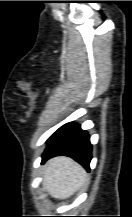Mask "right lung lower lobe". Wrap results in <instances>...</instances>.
<instances>
[{"mask_svg": "<svg viewBox=\"0 0 132 217\" xmlns=\"http://www.w3.org/2000/svg\"><path fill=\"white\" fill-rule=\"evenodd\" d=\"M42 163L51 157L65 155L72 157L87 170L91 160L92 146L89 135L79 125L67 123L54 132L47 140Z\"/></svg>", "mask_w": 132, "mask_h": 217, "instance_id": "right-lung-lower-lobe-1", "label": "right lung lower lobe"}]
</instances>
